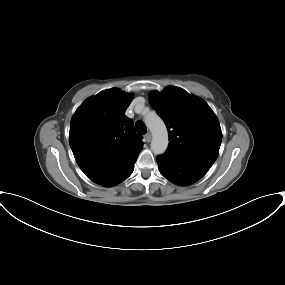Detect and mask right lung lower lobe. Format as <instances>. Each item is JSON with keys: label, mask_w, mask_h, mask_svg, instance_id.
<instances>
[{"label": "right lung lower lobe", "mask_w": 285, "mask_h": 285, "mask_svg": "<svg viewBox=\"0 0 285 285\" xmlns=\"http://www.w3.org/2000/svg\"><path fill=\"white\" fill-rule=\"evenodd\" d=\"M135 161L132 162L130 165H128L119 175H117L115 178H113L111 181L104 184L103 186H106V187L115 186V185L121 183L122 181H124L125 179H127L132 174V172L134 170Z\"/></svg>", "instance_id": "1"}]
</instances>
